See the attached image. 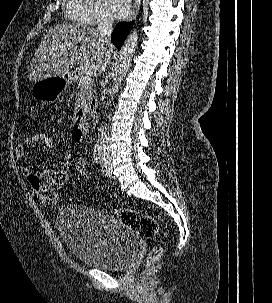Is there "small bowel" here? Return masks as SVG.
Masks as SVG:
<instances>
[{"mask_svg": "<svg viewBox=\"0 0 272 303\" xmlns=\"http://www.w3.org/2000/svg\"><path fill=\"white\" fill-rule=\"evenodd\" d=\"M71 138L74 142H79L75 134H71ZM37 136L30 135L23 143H19L15 147V156L17 158H23L27 152L29 146H36ZM21 171L25 177H27L31 186L38 195L50 192L54 187L63 185L69 178V172L65 169H53L40 172H33L30 167L23 165Z\"/></svg>", "mask_w": 272, "mask_h": 303, "instance_id": "small-bowel-1", "label": "small bowel"}]
</instances>
